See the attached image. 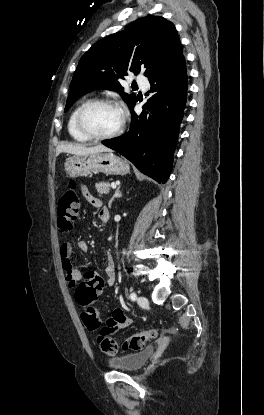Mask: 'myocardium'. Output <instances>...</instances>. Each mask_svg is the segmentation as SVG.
<instances>
[{
    "instance_id": "1",
    "label": "myocardium",
    "mask_w": 264,
    "mask_h": 415,
    "mask_svg": "<svg viewBox=\"0 0 264 415\" xmlns=\"http://www.w3.org/2000/svg\"><path fill=\"white\" fill-rule=\"evenodd\" d=\"M99 106H112L115 107L117 109L120 110L122 118H121V122L119 127L112 133L109 134H105V135H99L96 134L92 131H90L86 124H85V115L87 114L88 111H90L93 108L99 107ZM76 127L78 129V131L84 135L85 137H87L90 140H97V141H101V140H109V139H114L116 137H118L119 135H121V133L123 132L125 125H126V117L125 114L123 113V111L120 109L119 105L109 99H96V100H92L86 104H84L78 111L77 115H76Z\"/></svg>"
}]
</instances>
